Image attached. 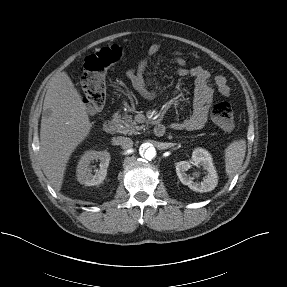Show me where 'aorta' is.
<instances>
[{
	"label": "aorta",
	"instance_id": "aorta-1",
	"mask_svg": "<svg viewBox=\"0 0 287 287\" xmlns=\"http://www.w3.org/2000/svg\"><path fill=\"white\" fill-rule=\"evenodd\" d=\"M139 151L141 156L147 160H152L156 156V149L151 143H143Z\"/></svg>",
	"mask_w": 287,
	"mask_h": 287
}]
</instances>
